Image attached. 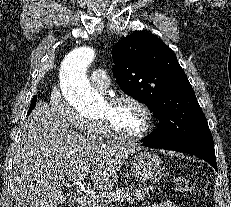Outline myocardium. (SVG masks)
I'll return each instance as SVG.
<instances>
[{"instance_id":"obj_1","label":"myocardium","mask_w":231,"mask_h":207,"mask_svg":"<svg viewBox=\"0 0 231 207\" xmlns=\"http://www.w3.org/2000/svg\"><path fill=\"white\" fill-rule=\"evenodd\" d=\"M106 102L111 107H114L123 102L132 103L142 111L145 118L144 128L140 132L134 135H125L118 132L112 126V124L110 123L107 117L98 118L97 121L100 124L102 132L106 137L119 142H135L145 138L152 132L154 127L153 113L149 108V106L143 101H141L140 99H138L137 97L128 94L112 95L106 99Z\"/></svg>"}]
</instances>
